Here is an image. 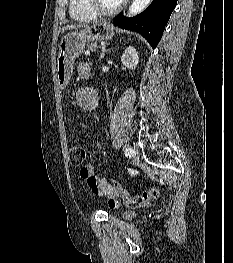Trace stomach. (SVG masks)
Instances as JSON below:
<instances>
[{
	"instance_id": "1",
	"label": "stomach",
	"mask_w": 233,
	"mask_h": 263,
	"mask_svg": "<svg viewBox=\"0 0 233 263\" xmlns=\"http://www.w3.org/2000/svg\"><path fill=\"white\" fill-rule=\"evenodd\" d=\"M114 33V27L103 21L64 35L60 41L57 58L58 86L63 89L68 84L73 73L75 59L84 51L86 42L108 40L114 36Z\"/></svg>"
}]
</instances>
